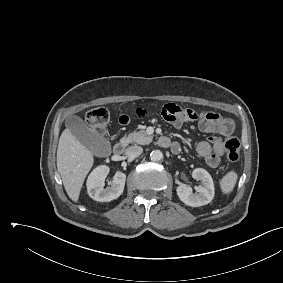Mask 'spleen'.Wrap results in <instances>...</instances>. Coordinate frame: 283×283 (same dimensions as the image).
Returning <instances> with one entry per match:
<instances>
[{
  "instance_id": "3e777b00",
  "label": "spleen",
  "mask_w": 283,
  "mask_h": 283,
  "mask_svg": "<svg viewBox=\"0 0 283 283\" xmlns=\"http://www.w3.org/2000/svg\"><path fill=\"white\" fill-rule=\"evenodd\" d=\"M237 178V173L230 171L221 179L220 187L224 194H228L234 189Z\"/></svg>"
}]
</instances>
